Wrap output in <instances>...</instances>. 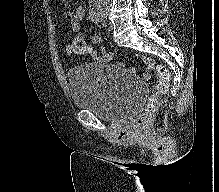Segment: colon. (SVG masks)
Masks as SVG:
<instances>
[{"mask_svg": "<svg viewBox=\"0 0 219 192\" xmlns=\"http://www.w3.org/2000/svg\"><path fill=\"white\" fill-rule=\"evenodd\" d=\"M69 51L79 55H95L96 51L89 46L83 39L75 38L69 45ZM106 61H110L112 59L111 56H104ZM156 74L158 77L156 86H155V94L152 95L146 104L144 112L138 119V125L141 127H146L155 114L157 106H158V95L165 93L170 85L171 74L167 67L162 65L156 66Z\"/></svg>", "mask_w": 219, "mask_h": 192, "instance_id": "colon-1", "label": "colon"}]
</instances>
